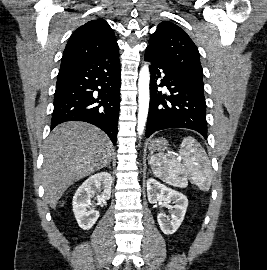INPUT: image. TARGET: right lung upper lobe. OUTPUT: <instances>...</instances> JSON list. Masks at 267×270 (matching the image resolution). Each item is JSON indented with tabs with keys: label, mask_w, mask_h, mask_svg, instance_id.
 <instances>
[{
	"label": "right lung upper lobe",
	"mask_w": 267,
	"mask_h": 270,
	"mask_svg": "<svg viewBox=\"0 0 267 270\" xmlns=\"http://www.w3.org/2000/svg\"><path fill=\"white\" fill-rule=\"evenodd\" d=\"M118 50L110 25L103 19L91 20L80 26L70 37L61 61V67L92 59Z\"/></svg>",
	"instance_id": "right-lung-upper-lobe-1"
}]
</instances>
